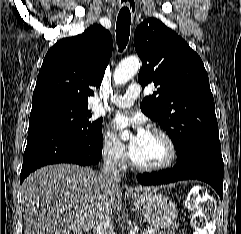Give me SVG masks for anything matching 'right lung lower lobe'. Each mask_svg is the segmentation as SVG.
<instances>
[{"label": "right lung lower lobe", "instance_id": "obj_1", "mask_svg": "<svg viewBox=\"0 0 241 234\" xmlns=\"http://www.w3.org/2000/svg\"><path fill=\"white\" fill-rule=\"evenodd\" d=\"M102 156V135L95 142L63 132H45L28 136L23 155L20 183L36 169L48 164H97Z\"/></svg>", "mask_w": 241, "mask_h": 234}]
</instances>
